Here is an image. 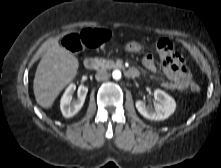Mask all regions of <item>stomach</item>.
<instances>
[{"label": "stomach", "mask_w": 221, "mask_h": 168, "mask_svg": "<svg viewBox=\"0 0 221 168\" xmlns=\"http://www.w3.org/2000/svg\"><path fill=\"white\" fill-rule=\"evenodd\" d=\"M124 49L127 52H140L142 49V45L137 42V41H130L128 43H126V45L124 46Z\"/></svg>", "instance_id": "0dacf381"}]
</instances>
